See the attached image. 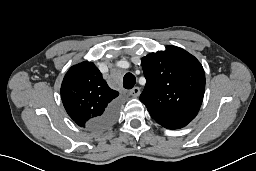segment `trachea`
<instances>
[{
	"instance_id": "1",
	"label": "trachea",
	"mask_w": 256,
	"mask_h": 171,
	"mask_svg": "<svg viewBox=\"0 0 256 171\" xmlns=\"http://www.w3.org/2000/svg\"><path fill=\"white\" fill-rule=\"evenodd\" d=\"M136 83V78L132 73H126L123 78V86L125 89H132Z\"/></svg>"
}]
</instances>
